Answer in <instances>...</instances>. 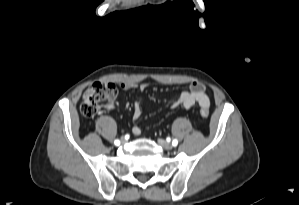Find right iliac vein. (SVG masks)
Masks as SVG:
<instances>
[{"mask_svg":"<svg viewBox=\"0 0 299 205\" xmlns=\"http://www.w3.org/2000/svg\"><path fill=\"white\" fill-rule=\"evenodd\" d=\"M121 141H122V143H124V142H125V139L122 138Z\"/></svg>","mask_w":299,"mask_h":205,"instance_id":"obj_1","label":"right iliac vein"}]
</instances>
